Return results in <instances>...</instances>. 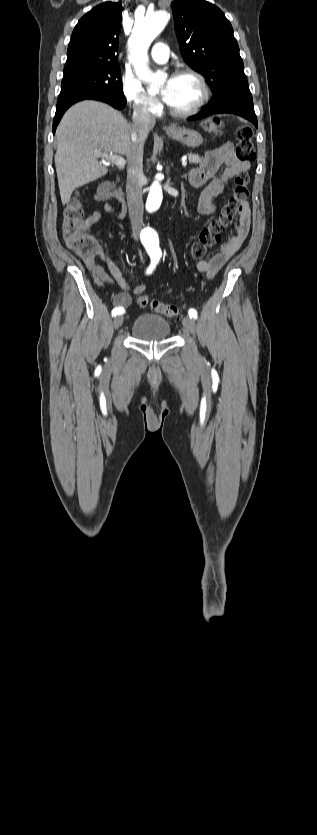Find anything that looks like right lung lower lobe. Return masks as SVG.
Segmentation results:
<instances>
[{
	"label": "right lung lower lobe",
	"instance_id": "1",
	"mask_svg": "<svg viewBox=\"0 0 317 835\" xmlns=\"http://www.w3.org/2000/svg\"><path fill=\"white\" fill-rule=\"evenodd\" d=\"M86 99L102 101V102L110 104L111 106H113V107H115L116 109H119V110L124 108L125 105H126V99H125L124 96L117 95V94H114V93H111V92L94 93V94L74 98V99H71L69 101L59 103L56 106V113H55V117H54V120H53V133H55L56 127H57L58 123L60 122L61 117L63 116L65 111L71 105H73L74 103H76L78 101H81V100H86Z\"/></svg>",
	"mask_w": 317,
	"mask_h": 835
}]
</instances>
